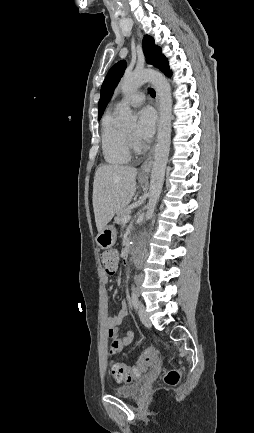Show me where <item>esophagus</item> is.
Here are the masks:
<instances>
[{
	"label": "esophagus",
	"mask_w": 254,
	"mask_h": 433,
	"mask_svg": "<svg viewBox=\"0 0 254 433\" xmlns=\"http://www.w3.org/2000/svg\"><path fill=\"white\" fill-rule=\"evenodd\" d=\"M139 38H142V34L141 32L138 30L137 31ZM156 107L157 110L159 112V96L158 93H156ZM154 151H155V144L152 146V148L150 149L146 159L144 160V162L142 163L140 170H139V177L140 178H147L150 168L152 166L153 163V158H154Z\"/></svg>",
	"instance_id": "esophagus-1"
}]
</instances>
